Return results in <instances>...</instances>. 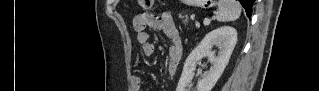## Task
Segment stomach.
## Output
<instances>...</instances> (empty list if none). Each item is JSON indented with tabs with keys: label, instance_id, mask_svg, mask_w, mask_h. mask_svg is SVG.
Masks as SVG:
<instances>
[{
	"label": "stomach",
	"instance_id": "obj_1",
	"mask_svg": "<svg viewBox=\"0 0 319 91\" xmlns=\"http://www.w3.org/2000/svg\"><path fill=\"white\" fill-rule=\"evenodd\" d=\"M186 2H189V1H186ZM213 2L214 1H212V0H206L205 3H204V6H209L210 7V6L213 5Z\"/></svg>",
	"mask_w": 319,
	"mask_h": 91
}]
</instances>
